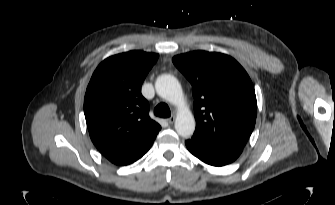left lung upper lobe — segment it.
<instances>
[{
    "label": "left lung upper lobe",
    "instance_id": "1",
    "mask_svg": "<svg viewBox=\"0 0 335 205\" xmlns=\"http://www.w3.org/2000/svg\"><path fill=\"white\" fill-rule=\"evenodd\" d=\"M172 61L192 84L193 136L243 148L255 126L257 101L242 66L228 55L206 51L177 55Z\"/></svg>",
    "mask_w": 335,
    "mask_h": 205
}]
</instances>
